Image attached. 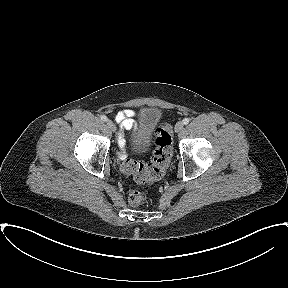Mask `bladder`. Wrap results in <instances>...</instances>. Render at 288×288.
<instances>
[{"instance_id": "obj_1", "label": "bladder", "mask_w": 288, "mask_h": 288, "mask_svg": "<svg viewBox=\"0 0 288 288\" xmlns=\"http://www.w3.org/2000/svg\"><path fill=\"white\" fill-rule=\"evenodd\" d=\"M162 112L156 107H146L140 110L137 127L132 138V145L137 151H146L152 143L153 133L160 124Z\"/></svg>"}]
</instances>
